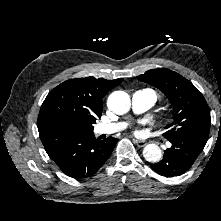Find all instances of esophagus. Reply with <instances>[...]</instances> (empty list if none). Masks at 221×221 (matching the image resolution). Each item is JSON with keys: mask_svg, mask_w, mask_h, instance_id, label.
Segmentation results:
<instances>
[{"mask_svg": "<svg viewBox=\"0 0 221 221\" xmlns=\"http://www.w3.org/2000/svg\"><path fill=\"white\" fill-rule=\"evenodd\" d=\"M133 143L136 144L138 147H144L146 145L145 141L133 139Z\"/></svg>", "mask_w": 221, "mask_h": 221, "instance_id": "esophagus-1", "label": "esophagus"}]
</instances>
